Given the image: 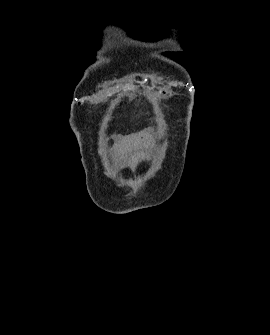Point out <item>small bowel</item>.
I'll return each instance as SVG.
<instances>
[{
	"label": "small bowel",
	"instance_id": "c3829d8e",
	"mask_svg": "<svg viewBox=\"0 0 270 335\" xmlns=\"http://www.w3.org/2000/svg\"><path fill=\"white\" fill-rule=\"evenodd\" d=\"M153 147V138L150 131H141L129 139V145L124 149L126 167L135 169L149 161Z\"/></svg>",
	"mask_w": 270,
	"mask_h": 335
}]
</instances>
